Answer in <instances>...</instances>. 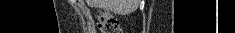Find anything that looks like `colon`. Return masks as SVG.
<instances>
[{
  "mask_svg": "<svg viewBox=\"0 0 235 33\" xmlns=\"http://www.w3.org/2000/svg\"><path fill=\"white\" fill-rule=\"evenodd\" d=\"M98 27L102 33H121L118 19L108 12L100 15Z\"/></svg>",
  "mask_w": 235,
  "mask_h": 33,
  "instance_id": "colon-1",
  "label": "colon"
}]
</instances>
